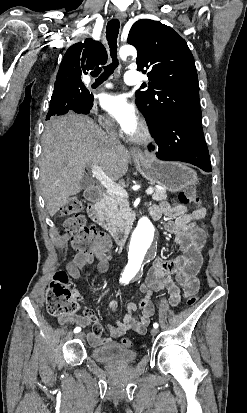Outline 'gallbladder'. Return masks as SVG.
<instances>
[{"label": "gallbladder", "mask_w": 247, "mask_h": 413, "mask_svg": "<svg viewBox=\"0 0 247 413\" xmlns=\"http://www.w3.org/2000/svg\"><path fill=\"white\" fill-rule=\"evenodd\" d=\"M91 184H92V180H91L90 176H83V178L80 182L81 188H87V186H91Z\"/></svg>", "instance_id": "1"}]
</instances>
